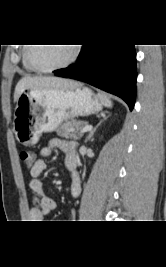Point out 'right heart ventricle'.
<instances>
[{"mask_svg": "<svg viewBox=\"0 0 166 267\" xmlns=\"http://www.w3.org/2000/svg\"><path fill=\"white\" fill-rule=\"evenodd\" d=\"M25 54H26V48H23L21 54V60L24 69L28 72H34L35 70L28 64Z\"/></svg>", "mask_w": 166, "mask_h": 267, "instance_id": "e07e8e85", "label": "right heart ventricle"}]
</instances>
